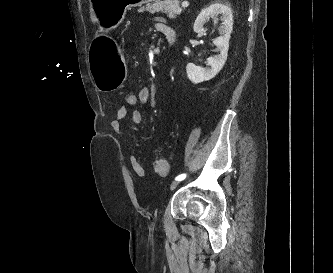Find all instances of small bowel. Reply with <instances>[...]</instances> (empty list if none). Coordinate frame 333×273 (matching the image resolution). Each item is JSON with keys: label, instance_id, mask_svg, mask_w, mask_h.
<instances>
[{"label": "small bowel", "instance_id": "c3829d8e", "mask_svg": "<svg viewBox=\"0 0 333 273\" xmlns=\"http://www.w3.org/2000/svg\"><path fill=\"white\" fill-rule=\"evenodd\" d=\"M165 28H171L169 25L165 23H157L156 29L158 31L164 32ZM134 94V93H129ZM138 100L136 102L140 103L141 105H146L150 100V90L147 87H143L138 92ZM130 117L131 122L134 124H138L141 121V114L138 111L130 112L129 109H123L122 106L117 110L116 117L112 121V128L114 132L123 138L122 135V122L125 118ZM129 164L134 171L137 177H144L145 169L138 161L135 155L129 156Z\"/></svg>", "mask_w": 333, "mask_h": 273}]
</instances>
